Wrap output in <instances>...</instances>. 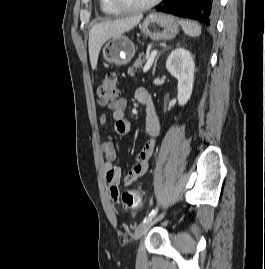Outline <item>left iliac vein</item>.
Instances as JSON below:
<instances>
[{"label":"left iliac vein","mask_w":265,"mask_h":269,"mask_svg":"<svg viewBox=\"0 0 265 269\" xmlns=\"http://www.w3.org/2000/svg\"><path fill=\"white\" fill-rule=\"evenodd\" d=\"M164 216H165V213H161L156 218L148 222L141 223L135 230L134 239L138 240L139 238H141L155 223L162 220Z\"/></svg>","instance_id":"4c4485c4"}]
</instances>
